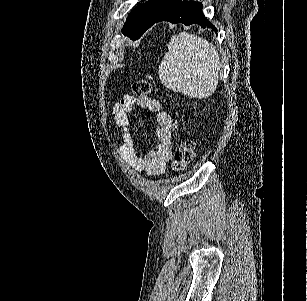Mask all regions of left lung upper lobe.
Segmentation results:
<instances>
[{
  "label": "left lung upper lobe",
  "mask_w": 307,
  "mask_h": 301,
  "mask_svg": "<svg viewBox=\"0 0 307 301\" xmlns=\"http://www.w3.org/2000/svg\"><path fill=\"white\" fill-rule=\"evenodd\" d=\"M179 1L180 0H149L138 5L128 15L122 28V33L132 40L139 39L142 34L152 26L157 18Z\"/></svg>",
  "instance_id": "obj_1"
}]
</instances>
